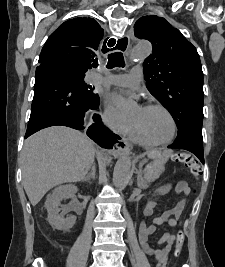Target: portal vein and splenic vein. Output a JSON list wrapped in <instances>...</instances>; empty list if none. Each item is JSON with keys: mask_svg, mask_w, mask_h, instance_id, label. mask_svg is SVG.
I'll use <instances>...</instances> for the list:
<instances>
[{"mask_svg": "<svg viewBox=\"0 0 225 267\" xmlns=\"http://www.w3.org/2000/svg\"><path fill=\"white\" fill-rule=\"evenodd\" d=\"M149 168V165L146 167V169H148Z\"/></svg>", "mask_w": 225, "mask_h": 267, "instance_id": "obj_1", "label": "portal vein and splenic vein"}]
</instances>
